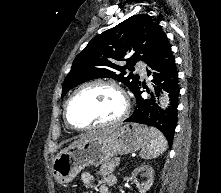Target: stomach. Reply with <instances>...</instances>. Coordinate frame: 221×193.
Segmentation results:
<instances>
[{"label":"stomach","instance_id":"stomach-1","mask_svg":"<svg viewBox=\"0 0 221 193\" xmlns=\"http://www.w3.org/2000/svg\"><path fill=\"white\" fill-rule=\"evenodd\" d=\"M150 142L147 126L129 123L88 138L60 151L52 162V175L60 183L71 182L87 166H98L117 155L143 149Z\"/></svg>","mask_w":221,"mask_h":193}]
</instances>
